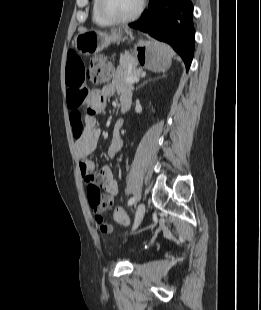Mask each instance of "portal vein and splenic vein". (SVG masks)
Instances as JSON below:
<instances>
[{
    "instance_id": "obj_1",
    "label": "portal vein and splenic vein",
    "mask_w": 261,
    "mask_h": 310,
    "mask_svg": "<svg viewBox=\"0 0 261 310\" xmlns=\"http://www.w3.org/2000/svg\"><path fill=\"white\" fill-rule=\"evenodd\" d=\"M125 80H126V82L133 84V83L138 82L139 78L138 77H127V78H125Z\"/></svg>"
}]
</instances>
